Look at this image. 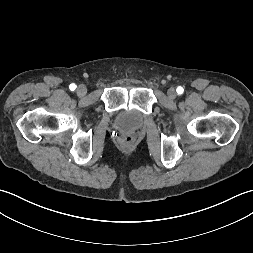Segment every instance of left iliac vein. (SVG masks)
<instances>
[{"instance_id": "left-iliac-vein-1", "label": "left iliac vein", "mask_w": 253, "mask_h": 253, "mask_svg": "<svg viewBox=\"0 0 253 253\" xmlns=\"http://www.w3.org/2000/svg\"><path fill=\"white\" fill-rule=\"evenodd\" d=\"M167 95L170 99H175L177 94L174 88H169L167 91Z\"/></svg>"}]
</instances>
